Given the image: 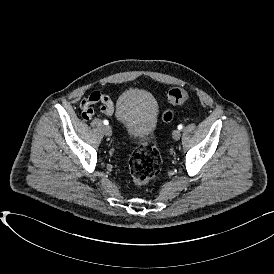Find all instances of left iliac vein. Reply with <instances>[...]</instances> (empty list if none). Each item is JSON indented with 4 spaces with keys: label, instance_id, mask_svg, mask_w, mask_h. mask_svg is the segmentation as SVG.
I'll return each mask as SVG.
<instances>
[{
    "label": "left iliac vein",
    "instance_id": "left-iliac-vein-1",
    "mask_svg": "<svg viewBox=\"0 0 274 274\" xmlns=\"http://www.w3.org/2000/svg\"><path fill=\"white\" fill-rule=\"evenodd\" d=\"M172 137H173L174 140H179L180 137H181L180 130L179 129L174 130L173 133H172Z\"/></svg>",
    "mask_w": 274,
    "mask_h": 274
}]
</instances>
